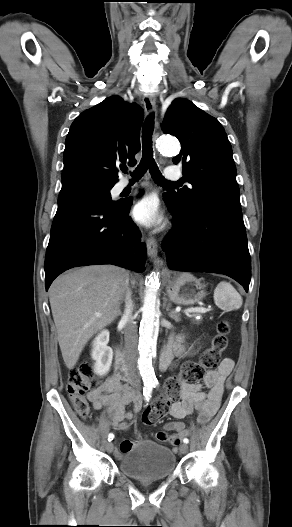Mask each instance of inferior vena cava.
I'll list each match as a JSON object with an SVG mask.
<instances>
[{
    "label": "inferior vena cava",
    "instance_id": "602c4592",
    "mask_svg": "<svg viewBox=\"0 0 292 527\" xmlns=\"http://www.w3.org/2000/svg\"><path fill=\"white\" fill-rule=\"evenodd\" d=\"M125 295V310L122 316V321L125 323L124 339L126 359L131 375L135 379L136 383L139 384V377L136 374L138 335L137 326L133 320L134 304L131 299V291L129 288H127Z\"/></svg>",
    "mask_w": 292,
    "mask_h": 527
}]
</instances>
